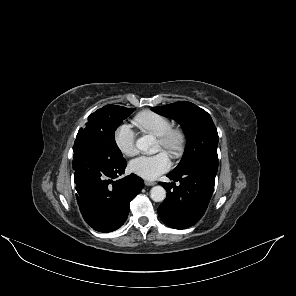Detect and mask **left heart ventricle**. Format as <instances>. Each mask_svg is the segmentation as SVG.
Segmentation results:
<instances>
[{"label":"left heart ventricle","mask_w":296,"mask_h":296,"mask_svg":"<svg viewBox=\"0 0 296 296\" xmlns=\"http://www.w3.org/2000/svg\"><path fill=\"white\" fill-rule=\"evenodd\" d=\"M161 149H162L161 145L159 144V142H157L156 150L159 151Z\"/></svg>","instance_id":"1"}]
</instances>
